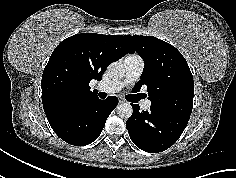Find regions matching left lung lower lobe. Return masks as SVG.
<instances>
[{
    "label": "left lung lower lobe",
    "mask_w": 236,
    "mask_h": 178,
    "mask_svg": "<svg viewBox=\"0 0 236 178\" xmlns=\"http://www.w3.org/2000/svg\"><path fill=\"white\" fill-rule=\"evenodd\" d=\"M133 114L126 122L132 142L141 150L158 153L172 146L184 131L190 116L151 105L149 111H139L131 104Z\"/></svg>",
    "instance_id": "left-lung-lower-lobe-1"
}]
</instances>
